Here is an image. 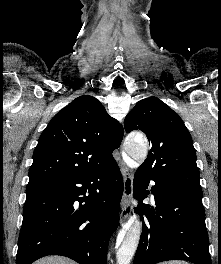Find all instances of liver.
Returning <instances> with one entry per match:
<instances>
[{"mask_svg": "<svg viewBox=\"0 0 221 264\" xmlns=\"http://www.w3.org/2000/svg\"><path fill=\"white\" fill-rule=\"evenodd\" d=\"M33 264H77L74 261L61 256H47Z\"/></svg>", "mask_w": 221, "mask_h": 264, "instance_id": "1", "label": "liver"}]
</instances>
